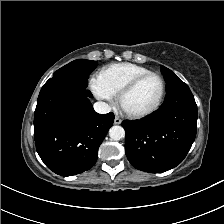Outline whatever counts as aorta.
Instances as JSON below:
<instances>
[{
	"instance_id": "aorta-1",
	"label": "aorta",
	"mask_w": 224,
	"mask_h": 224,
	"mask_svg": "<svg viewBox=\"0 0 224 224\" xmlns=\"http://www.w3.org/2000/svg\"><path fill=\"white\" fill-rule=\"evenodd\" d=\"M109 136L114 141L121 140L125 137V130L122 126H112L109 130Z\"/></svg>"
}]
</instances>
